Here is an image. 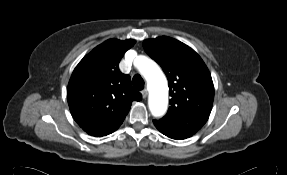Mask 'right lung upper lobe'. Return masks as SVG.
Here are the masks:
<instances>
[{
    "mask_svg": "<svg viewBox=\"0 0 287 175\" xmlns=\"http://www.w3.org/2000/svg\"><path fill=\"white\" fill-rule=\"evenodd\" d=\"M135 40L110 39L87 54L74 69L67 88V100L77 124L88 134L102 137L123 123L131 103L142 99L129 75L118 64Z\"/></svg>",
    "mask_w": 287,
    "mask_h": 175,
    "instance_id": "right-lung-upper-lobe-1",
    "label": "right lung upper lobe"
}]
</instances>
